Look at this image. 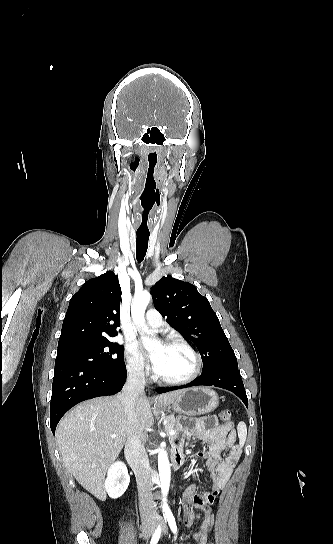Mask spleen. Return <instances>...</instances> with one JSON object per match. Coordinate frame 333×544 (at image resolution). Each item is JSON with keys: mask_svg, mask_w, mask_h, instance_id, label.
I'll use <instances>...</instances> for the list:
<instances>
[{"mask_svg": "<svg viewBox=\"0 0 333 544\" xmlns=\"http://www.w3.org/2000/svg\"><path fill=\"white\" fill-rule=\"evenodd\" d=\"M237 431H238V437L240 441H245L247 436V427L243 421L239 422L237 426Z\"/></svg>", "mask_w": 333, "mask_h": 544, "instance_id": "3e777b00", "label": "spleen"}]
</instances>
